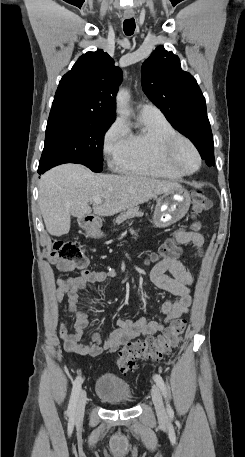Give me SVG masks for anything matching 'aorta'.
Instances as JSON below:
<instances>
[{
	"instance_id": "1",
	"label": "aorta",
	"mask_w": 245,
	"mask_h": 457,
	"mask_svg": "<svg viewBox=\"0 0 245 457\" xmlns=\"http://www.w3.org/2000/svg\"><path fill=\"white\" fill-rule=\"evenodd\" d=\"M129 98H130L129 92L125 88L120 89L119 92L117 93L116 107H117V112L121 116H128L130 114L129 109H128Z\"/></svg>"
}]
</instances>
